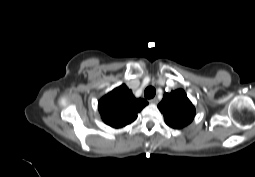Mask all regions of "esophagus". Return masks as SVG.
Returning <instances> with one entry per match:
<instances>
[{
  "label": "esophagus",
  "instance_id": "esophagus-1",
  "mask_svg": "<svg viewBox=\"0 0 255 177\" xmlns=\"http://www.w3.org/2000/svg\"><path fill=\"white\" fill-rule=\"evenodd\" d=\"M149 102L152 103V104H157L158 99L155 97V98L151 99Z\"/></svg>",
  "mask_w": 255,
  "mask_h": 177
}]
</instances>
